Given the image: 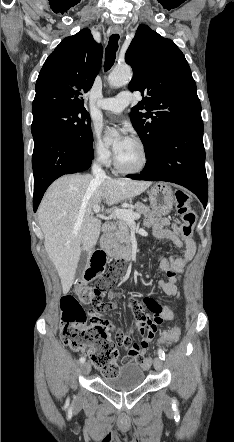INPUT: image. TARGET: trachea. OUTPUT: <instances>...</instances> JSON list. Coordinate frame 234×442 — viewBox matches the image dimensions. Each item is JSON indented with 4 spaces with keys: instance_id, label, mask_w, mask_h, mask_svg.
I'll return each mask as SVG.
<instances>
[{
    "instance_id": "3493384b",
    "label": "trachea",
    "mask_w": 234,
    "mask_h": 442,
    "mask_svg": "<svg viewBox=\"0 0 234 442\" xmlns=\"http://www.w3.org/2000/svg\"><path fill=\"white\" fill-rule=\"evenodd\" d=\"M118 40V34H112L109 38V43L105 49L104 69L106 71L109 70L115 62L116 52L118 50Z\"/></svg>"
}]
</instances>
